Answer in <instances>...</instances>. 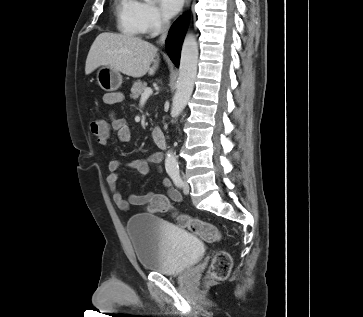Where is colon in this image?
Here are the masks:
<instances>
[{"label":"colon","mask_w":363,"mask_h":317,"mask_svg":"<svg viewBox=\"0 0 363 317\" xmlns=\"http://www.w3.org/2000/svg\"><path fill=\"white\" fill-rule=\"evenodd\" d=\"M90 131L93 135L99 136L105 131V122L100 119H93L89 123ZM167 206L164 201L153 202L151 210L156 212L160 211L162 207ZM171 210V207H168ZM175 218L181 227H184L197 234L206 242H216L221 239V233L217 227L211 223L201 221L183 214H175ZM232 267L231 257L227 252L220 251L216 253L211 261L208 272L210 279L222 280L229 276Z\"/></svg>","instance_id":"colon-1"}]
</instances>
